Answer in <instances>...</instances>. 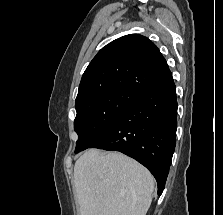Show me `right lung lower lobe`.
Listing matches in <instances>:
<instances>
[{
    "instance_id": "98d812e1",
    "label": "right lung lower lobe",
    "mask_w": 223,
    "mask_h": 215,
    "mask_svg": "<svg viewBox=\"0 0 223 215\" xmlns=\"http://www.w3.org/2000/svg\"><path fill=\"white\" fill-rule=\"evenodd\" d=\"M177 99L174 81L142 94L90 148L122 152L155 177L160 195L175 149Z\"/></svg>"
}]
</instances>
